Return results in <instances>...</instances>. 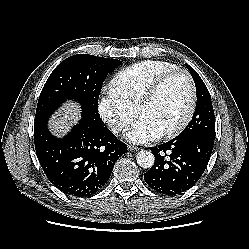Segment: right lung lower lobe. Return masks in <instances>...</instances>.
Segmentation results:
<instances>
[{
  "mask_svg": "<svg viewBox=\"0 0 249 249\" xmlns=\"http://www.w3.org/2000/svg\"><path fill=\"white\" fill-rule=\"evenodd\" d=\"M35 150L47 178L60 191L75 197L92 196L108 181L127 145L105 126L81 119L63 138L47 125L34 127Z\"/></svg>",
  "mask_w": 249,
  "mask_h": 249,
  "instance_id": "obj_1",
  "label": "right lung lower lobe"
}]
</instances>
